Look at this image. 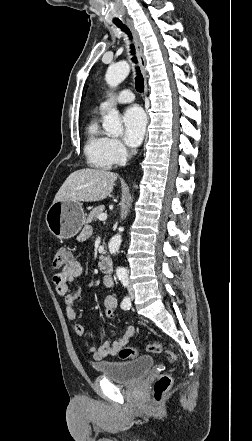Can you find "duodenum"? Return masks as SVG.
<instances>
[{"instance_id": "obj_1", "label": "duodenum", "mask_w": 252, "mask_h": 441, "mask_svg": "<svg viewBox=\"0 0 252 441\" xmlns=\"http://www.w3.org/2000/svg\"><path fill=\"white\" fill-rule=\"evenodd\" d=\"M99 267L103 272L109 274L113 267L111 259L107 255H101L99 257Z\"/></svg>"}]
</instances>
